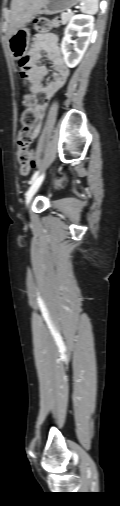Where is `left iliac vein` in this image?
Returning a JSON list of instances; mask_svg holds the SVG:
<instances>
[{"instance_id":"1","label":"left iliac vein","mask_w":120,"mask_h":506,"mask_svg":"<svg viewBox=\"0 0 120 506\" xmlns=\"http://www.w3.org/2000/svg\"><path fill=\"white\" fill-rule=\"evenodd\" d=\"M44 180V174L40 175L39 177H37L32 185L30 186V188L28 189L27 191V194H26V205L28 206L30 201L32 200L34 194L37 192V190L39 189L40 185L42 184Z\"/></svg>"}]
</instances>
